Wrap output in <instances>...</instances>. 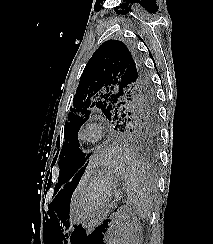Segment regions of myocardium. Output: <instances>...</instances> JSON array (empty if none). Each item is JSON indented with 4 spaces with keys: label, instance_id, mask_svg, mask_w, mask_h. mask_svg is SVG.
<instances>
[{
    "label": "myocardium",
    "instance_id": "myocardium-1",
    "mask_svg": "<svg viewBox=\"0 0 213 244\" xmlns=\"http://www.w3.org/2000/svg\"><path fill=\"white\" fill-rule=\"evenodd\" d=\"M93 132V135L89 133ZM105 134L104 126L99 121H87L85 122L78 131V138L81 142L94 144L99 142Z\"/></svg>",
    "mask_w": 213,
    "mask_h": 244
}]
</instances>
